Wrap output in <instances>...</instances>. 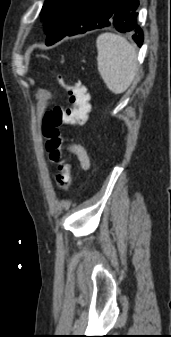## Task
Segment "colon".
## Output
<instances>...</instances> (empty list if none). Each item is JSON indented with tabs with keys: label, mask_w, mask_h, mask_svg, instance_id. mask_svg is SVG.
I'll return each mask as SVG.
<instances>
[{
	"label": "colon",
	"mask_w": 171,
	"mask_h": 337,
	"mask_svg": "<svg viewBox=\"0 0 171 337\" xmlns=\"http://www.w3.org/2000/svg\"><path fill=\"white\" fill-rule=\"evenodd\" d=\"M57 82L67 91L70 105L66 108L56 106L46 111L42 119L41 133L51 160L58 165L56 183L61 190L68 191L72 181V165L64 158V138L60 129L65 125H82L86 122L89 94L86 86L79 81L57 76Z\"/></svg>",
	"instance_id": "1"
}]
</instances>
